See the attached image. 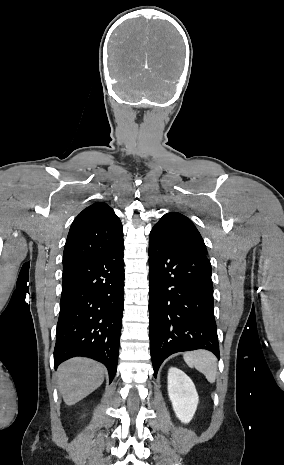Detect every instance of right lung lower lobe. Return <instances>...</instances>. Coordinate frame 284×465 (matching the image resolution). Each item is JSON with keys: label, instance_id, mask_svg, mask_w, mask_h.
I'll use <instances>...</instances> for the list:
<instances>
[{"label": "right lung lower lobe", "instance_id": "right-lung-lower-lobe-1", "mask_svg": "<svg viewBox=\"0 0 284 465\" xmlns=\"http://www.w3.org/2000/svg\"><path fill=\"white\" fill-rule=\"evenodd\" d=\"M123 240L80 266L64 270L54 349L55 369L75 356L103 363L113 380L124 302Z\"/></svg>", "mask_w": 284, "mask_h": 465}]
</instances>
